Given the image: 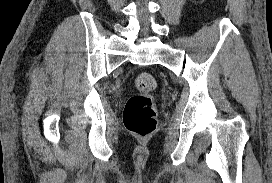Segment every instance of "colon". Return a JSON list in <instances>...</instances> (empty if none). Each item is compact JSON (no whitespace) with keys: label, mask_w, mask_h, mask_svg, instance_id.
Wrapping results in <instances>:
<instances>
[{"label":"colon","mask_w":272,"mask_h":183,"mask_svg":"<svg viewBox=\"0 0 272 183\" xmlns=\"http://www.w3.org/2000/svg\"><path fill=\"white\" fill-rule=\"evenodd\" d=\"M139 92L129 98L124 110L126 129L139 136L147 137L156 128V107L151 92L156 88V80L151 73L142 72L134 81Z\"/></svg>","instance_id":"obj_1"}]
</instances>
